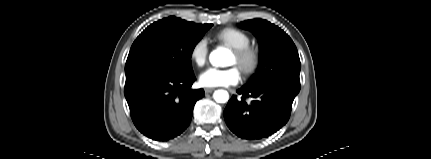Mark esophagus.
<instances>
[{"label": "esophagus", "instance_id": "esophagus-1", "mask_svg": "<svg viewBox=\"0 0 431 159\" xmlns=\"http://www.w3.org/2000/svg\"><path fill=\"white\" fill-rule=\"evenodd\" d=\"M205 93H212L214 91V88H205Z\"/></svg>", "mask_w": 431, "mask_h": 159}]
</instances>
